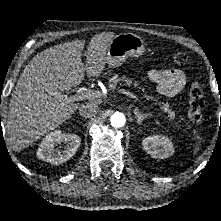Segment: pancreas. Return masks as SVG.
<instances>
[{
  "instance_id": "cf45deb5",
  "label": "pancreas",
  "mask_w": 221,
  "mask_h": 221,
  "mask_svg": "<svg viewBox=\"0 0 221 221\" xmlns=\"http://www.w3.org/2000/svg\"><path fill=\"white\" fill-rule=\"evenodd\" d=\"M117 84H120L122 86H130L133 84V81L129 78H127L126 76H122L119 77L118 75H114L109 79V87L111 89H114L116 87ZM134 86L137 87L138 86V82L135 81L134 82ZM145 97L148 100H152L153 98L149 95H145ZM158 105L160 106V110L163 111L164 113L168 114V118L174 120L175 119V112L169 107V105L167 103H158Z\"/></svg>"
}]
</instances>
